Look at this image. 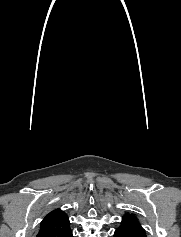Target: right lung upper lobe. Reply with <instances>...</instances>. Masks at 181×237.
I'll return each mask as SVG.
<instances>
[{"instance_id":"cb5924a9","label":"right lung upper lobe","mask_w":181,"mask_h":237,"mask_svg":"<svg viewBox=\"0 0 181 237\" xmlns=\"http://www.w3.org/2000/svg\"><path fill=\"white\" fill-rule=\"evenodd\" d=\"M70 232L68 216L58 208L42 220L37 237H67Z\"/></svg>"}]
</instances>
